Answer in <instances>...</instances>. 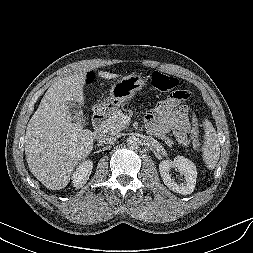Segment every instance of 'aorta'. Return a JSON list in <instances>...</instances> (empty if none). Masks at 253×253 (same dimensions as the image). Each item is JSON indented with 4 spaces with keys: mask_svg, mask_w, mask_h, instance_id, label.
<instances>
[{
    "mask_svg": "<svg viewBox=\"0 0 253 253\" xmlns=\"http://www.w3.org/2000/svg\"><path fill=\"white\" fill-rule=\"evenodd\" d=\"M140 139L136 135L129 136L127 138V146L130 149H137L140 146Z\"/></svg>",
    "mask_w": 253,
    "mask_h": 253,
    "instance_id": "762f6f07",
    "label": "aorta"
}]
</instances>
